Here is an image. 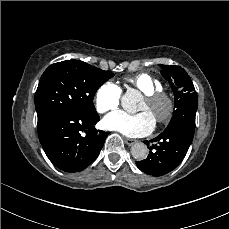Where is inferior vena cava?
<instances>
[{"label": "inferior vena cava", "mask_w": 229, "mask_h": 229, "mask_svg": "<svg viewBox=\"0 0 229 229\" xmlns=\"http://www.w3.org/2000/svg\"><path fill=\"white\" fill-rule=\"evenodd\" d=\"M140 143H138V144H135V145H133L132 147H134V146H136V145H139Z\"/></svg>", "instance_id": "602c4592"}]
</instances>
